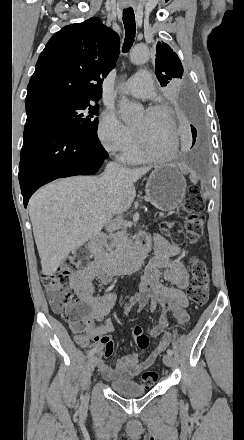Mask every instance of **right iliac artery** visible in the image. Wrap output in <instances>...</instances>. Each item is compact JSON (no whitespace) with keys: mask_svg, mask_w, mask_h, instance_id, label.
Masks as SVG:
<instances>
[{"mask_svg":"<svg viewBox=\"0 0 244 440\" xmlns=\"http://www.w3.org/2000/svg\"><path fill=\"white\" fill-rule=\"evenodd\" d=\"M96 352H97V348H93L92 350L89 351L88 357L93 356Z\"/></svg>","mask_w":244,"mask_h":440,"instance_id":"1","label":"right iliac artery"}]
</instances>
